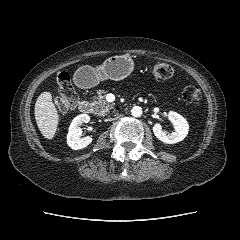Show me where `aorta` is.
Instances as JSON below:
<instances>
[{
  "label": "aorta",
  "mask_w": 240,
  "mask_h": 240,
  "mask_svg": "<svg viewBox=\"0 0 240 240\" xmlns=\"http://www.w3.org/2000/svg\"><path fill=\"white\" fill-rule=\"evenodd\" d=\"M131 114L133 117H140L142 115V108L139 106H134L131 109Z\"/></svg>",
  "instance_id": "obj_1"
}]
</instances>
